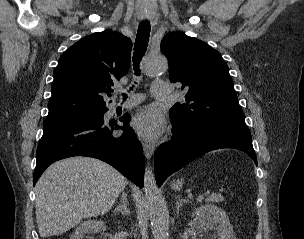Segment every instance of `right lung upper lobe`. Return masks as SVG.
<instances>
[{"mask_svg":"<svg viewBox=\"0 0 304 239\" xmlns=\"http://www.w3.org/2000/svg\"><path fill=\"white\" fill-rule=\"evenodd\" d=\"M132 42L106 30L86 36L67 49L53 73L46 119L106 108L102 94L111 96L113 81L129 70Z\"/></svg>","mask_w":304,"mask_h":239,"instance_id":"1","label":"right lung upper lobe"}]
</instances>
